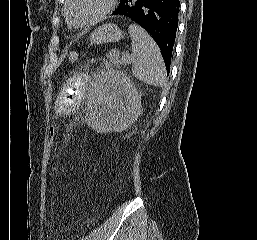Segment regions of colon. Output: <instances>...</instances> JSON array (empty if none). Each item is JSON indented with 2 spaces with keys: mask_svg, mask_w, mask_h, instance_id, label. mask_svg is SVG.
Segmentation results:
<instances>
[{
  "mask_svg": "<svg viewBox=\"0 0 257 240\" xmlns=\"http://www.w3.org/2000/svg\"><path fill=\"white\" fill-rule=\"evenodd\" d=\"M68 59H69L70 62H76L77 59H78V53L76 51L69 52ZM54 135H55V129H54V127H51L50 128V133H49L50 143H53Z\"/></svg>",
  "mask_w": 257,
  "mask_h": 240,
  "instance_id": "colon-1",
  "label": "colon"
}]
</instances>
